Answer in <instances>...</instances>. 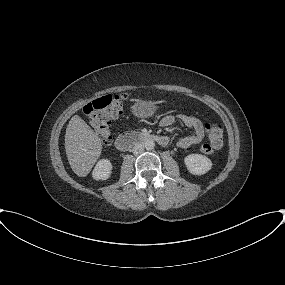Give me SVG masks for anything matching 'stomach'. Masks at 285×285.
I'll return each instance as SVG.
<instances>
[{"label": "stomach", "instance_id": "1", "mask_svg": "<svg viewBox=\"0 0 285 285\" xmlns=\"http://www.w3.org/2000/svg\"><path fill=\"white\" fill-rule=\"evenodd\" d=\"M156 110V106L153 102L143 101L133 106V112L139 117H149Z\"/></svg>", "mask_w": 285, "mask_h": 285}]
</instances>
